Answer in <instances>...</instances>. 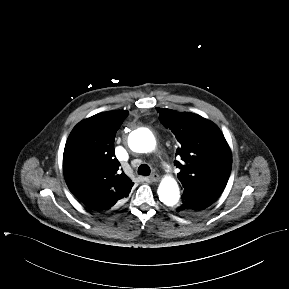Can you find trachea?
Wrapping results in <instances>:
<instances>
[{
	"label": "trachea",
	"mask_w": 289,
	"mask_h": 289,
	"mask_svg": "<svg viewBox=\"0 0 289 289\" xmlns=\"http://www.w3.org/2000/svg\"><path fill=\"white\" fill-rule=\"evenodd\" d=\"M151 172L150 167L147 164H141L138 168V174L148 176Z\"/></svg>",
	"instance_id": "trachea-1"
}]
</instances>
